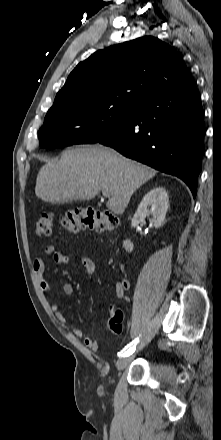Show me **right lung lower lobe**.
<instances>
[{
    "mask_svg": "<svg viewBox=\"0 0 221 440\" xmlns=\"http://www.w3.org/2000/svg\"><path fill=\"white\" fill-rule=\"evenodd\" d=\"M204 128L200 94L191 81L138 104L121 127L98 143L177 176L195 197L204 152Z\"/></svg>",
    "mask_w": 221,
    "mask_h": 440,
    "instance_id": "1",
    "label": "right lung lower lobe"
}]
</instances>
